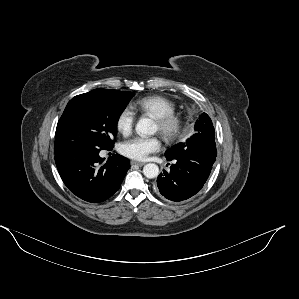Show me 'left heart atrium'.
Returning a JSON list of instances; mask_svg holds the SVG:
<instances>
[{"label": "left heart atrium", "mask_w": 299, "mask_h": 299, "mask_svg": "<svg viewBox=\"0 0 299 299\" xmlns=\"http://www.w3.org/2000/svg\"><path fill=\"white\" fill-rule=\"evenodd\" d=\"M161 141L157 136L134 137L121 143L119 152L130 159L145 160L151 153L159 151Z\"/></svg>", "instance_id": "left-heart-atrium-1"}]
</instances>
